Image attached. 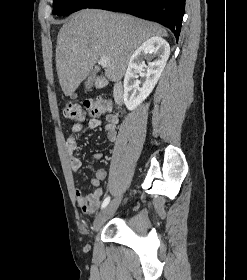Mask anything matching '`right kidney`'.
I'll use <instances>...</instances> for the list:
<instances>
[{"instance_id":"obj_1","label":"right kidney","mask_w":247,"mask_h":280,"mask_svg":"<svg viewBox=\"0 0 247 280\" xmlns=\"http://www.w3.org/2000/svg\"><path fill=\"white\" fill-rule=\"evenodd\" d=\"M170 55V46L160 36H153L144 41L130 57L124 77V103L128 110L137 108L152 92L163 72ZM145 59H154L144 62ZM147 68L146 80L142 87L137 80L139 71Z\"/></svg>"}]
</instances>
